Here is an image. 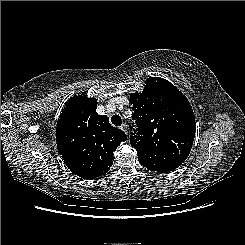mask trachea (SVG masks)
I'll use <instances>...</instances> for the list:
<instances>
[{"label":"trachea","mask_w":245,"mask_h":245,"mask_svg":"<svg viewBox=\"0 0 245 245\" xmlns=\"http://www.w3.org/2000/svg\"><path fill=\"white\" fill-rule=\"evenodd\" d=\"M111 122L116 126H120L122 123V119L119 115H113L111 118Z\"/></svg>","instance_id":"3493384b"}]
</instances>
